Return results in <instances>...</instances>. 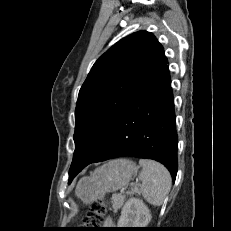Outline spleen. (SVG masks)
Segmentation results:
<instances>
[{
  "label": "spleen",
  "instance_id": "spleen-1",
  "mask_svg": "<svg viewBox=\"0 0 231 231\" xmlns=\"http://www.w3.org/2000/svg\"><path fill=\"white\" fill-rule=\"evenodd\" d=\"M139 164L142 167L139 174L142 181L140 193L149 204L162 205L171 188L169 171L154 160L140 159Z\"/></svg>",
  "mask_w": 231,
  "mask_h": 231
}]
</instances>
